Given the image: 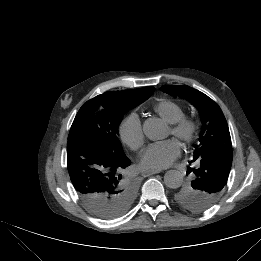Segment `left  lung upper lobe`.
Returning a JSON list of instances; mask_svg holds the SVG:
<instances>
[{"label":"left lung upper lobe","instance_id":"1","mask_svg":"<svg viewBox=\"0 0 261 261\" xmlns=\"http://www.w3.org/2000/svg\"><path fill=\"white\" fill-rule=\"evenodd\" d=\"M161 90L188 100L200 113L202 128L191 163L196 161L199 167L208 162L213 174L206 179L194 180L193 176L191 182L175 191L174 199L190 211L202 212L221 196L232 165L231 137L226 119L211 98L194 88L172 85L162 86Z\"/></svg>","mask_w":261,"mask_h":261}]
</instances>
